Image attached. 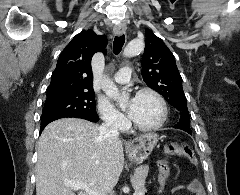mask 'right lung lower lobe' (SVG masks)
Wrapping results in <instances>:
<instances>
[{
	"label": "right lung lower lobe",
	"instance_id": "obj_1",
	"mask_svg": "<svg viewBox=\"0 0 240 195\" xmlns=\"http://www.w3.org/2000/svg\"><path fill=\"white\" fill-rule=\"evenodd\" d=\"M68 117L82 118V119L89 120V121H91V122H97V121L99 120L98 116L85 115V114L72 115V116L61 117V118H68ZM57 119H60V118H55V119H52V120H48V121L43 122V123L41 124V127H40V133L43 131V129L45 128V126H47L50 122H52V121H54V120H57Z\"/></svg>",
	"mask_w": 240,
	"mask_h": 195
}]
</instances>
